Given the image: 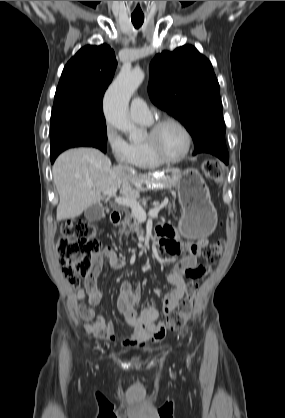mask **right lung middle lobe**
Instances as JSON below:
<instances>
[{"mask_svg": "<svg viewBox=\"0 0 285 418\" xmlns=\"http://www.w3.org/2000/svg\"><path fill=\"white\" fill-rule=\"evenodd\" d=\"M51 158L79 146L95 147L106 152L107 128L101 107L54 105L51 113Z\"/></svg>", "mask_w": 285, "mask_h": 418, "instance_id": "dd1d6c3e", "label": "right lung middle lobe"}]
</instances>
